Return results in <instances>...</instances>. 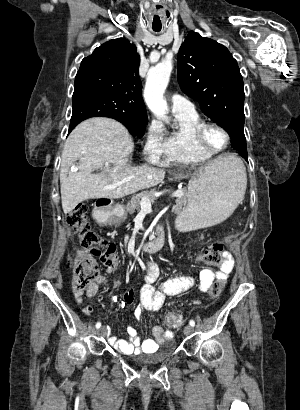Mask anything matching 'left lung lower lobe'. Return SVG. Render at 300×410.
<instances>
[{
    "instance_id": "0a47b994",
    "label": "left lung lower lobe",
    "mask_w": 300,
    "mask_h": 410,
    "mask_svg": "<svg viewBox=\"0 0 300 410\" xmlns=\"http://www.w3.org/2000/svg\"><path fill=\"white\" fill-rule=\"evenodd\" d=\"M242 156L245 158L246 161H248L247 155H242Z\"/></svg>"
}]
</instances>
